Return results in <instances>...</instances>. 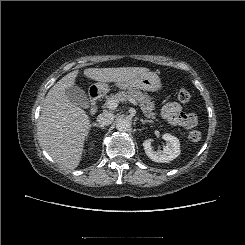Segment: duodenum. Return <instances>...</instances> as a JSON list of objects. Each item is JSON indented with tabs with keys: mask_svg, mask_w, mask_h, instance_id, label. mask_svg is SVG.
Returning <instances> with one entry per match:
<instances>
[{
	"mask_svg": "<svg viewBox=\"0 0 245 245\" xmlns=\"http://www.w3.org/2000/svg\"><path fill=\"white\" fill-rule=\"evenodd\" d=\"M100 97L97 92H91L90 94V112L96 114L99 107Z\"/></svg>",
	"mask_w": 245,
	"mask_h": 245,
	"instance_id": "duodenum-1",
	"label": "duodenum"
}]
</instances>
